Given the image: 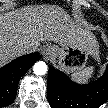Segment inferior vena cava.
I'll list each match as a JSON object with an SVG mask.
<instances>
[{
  "instance_id": "obj_1",
  "label": "inferior vena cava",
  "mask_w": 108,
  "mask_h": 108,
  "mask_svg": "<svg viewBox=\"0 0 108 108\" xmlns=\"http://www.w3.org/2000/svg\"><path fill=\"white\" fill-rule=\"evenodd\" d=\"M21 51L23 53H26V52H31L32 50H31V47L30 46L24 45V46L21 47Z\"/></svg>"
}]
</instances>
